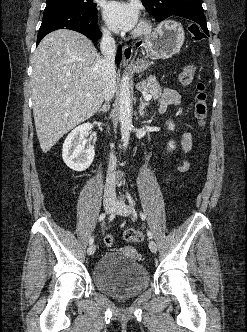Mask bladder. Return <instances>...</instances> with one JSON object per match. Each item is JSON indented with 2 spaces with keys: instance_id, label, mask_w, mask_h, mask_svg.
<instances>
[{
  "instance_id": "bladder-1",
  "label": "bladder",
  "mask_w": 247,
  "mask_h": 332,
  "mask_svg": "<svg viewBox=\"0 0 247 332\" xmlns=\"http://www.w3.org/2000/svg\"><path fill=\"white\" fill-rule=\"evenodd\" d=\"M92 281L95 287L114 298H133L149 286V274L130 247L112 249L94 264Z\"/></svg>"
}]
</instances>
